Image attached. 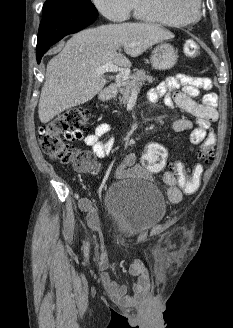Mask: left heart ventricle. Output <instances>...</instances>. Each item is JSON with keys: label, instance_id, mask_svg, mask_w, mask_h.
I'll return each instance as SVG.
<instances>
[{"label": "left heart ventricle", "instance_id": "left-heart-ventricle-1", "mask_svg": "<svg viewBox=\"0 0 233 328\" xmlns=\"http://www.w3.org/2000/svg\"><path fill=\"white\" fill-rule=\"evenodd\" d=\"M186 10H187L188 12L192 11V10H193V5L189 3V4L186 6Z\"/></svg>", "mask_w": 233, "mask_h": 328}]
</instances>
